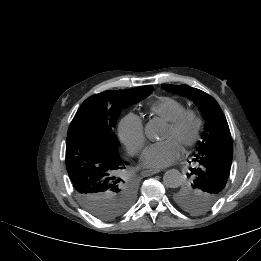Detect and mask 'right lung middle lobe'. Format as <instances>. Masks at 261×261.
I'll use <instances>...</instances> for the list:
<instances>
[{
  "label": "right lung middle lobe",
  "instance_id": "obj_1",
  "mask_svg": "<svg viewBox=\"0 0 261 261\" xmlns=\"http://www.w3.org/2000/svg\"><path fill=\"white\" fill-rule=\"evenodd\" d=\"M152 91V86H144L124 91H105L87 98L75 114L68 135L90 134L109 148L117 150L119 142L113 127L121 109L146 98ZM135 193L134 182L123 174H117L108 184L98 185L84 196L76 195L90 214L102 220H111L130 207Z\"/></svg>",
  "mask_w": 261,
  "mask_h": 261
}]
</instances>
